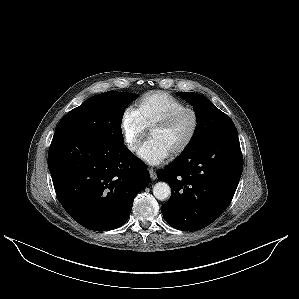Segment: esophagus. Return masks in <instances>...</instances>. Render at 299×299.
Segmentation results:
<instances>
[{"label":"esophagus","instance_id":"obj_1","mask_svg":"<svg viewBox=\"0 0 299 299\" xmlns=\"http://www.w3.org/2000/svg\"><path fill=\"white\" fill-rule=\"evenodd\" d=\"M149 174H150V177H151L152 180L156 179L157 175H156V172L153 168L149 169Z\"/></svg>","mask_w":299,"mask_h":299}]
</instances>
